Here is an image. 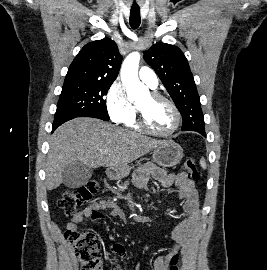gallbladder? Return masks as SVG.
Listing matches in <instances>:
<instances>
[{
	"instance_id": "gallbladder-1",
	"label": "gallbladder",
	"mask_w": 267,
	"mask_h": 270,
	"mask_svg": "<svg viewBox=\"0 0 267 270\" xmlns=\"http://www.w3.org/2000/svg\"><path fill=\"white\" fill-rule=\"evenodd\" d=\"M93 174V169L81 162H74L63 171V184L68 188H78L84 185Z\"/></svg>"
}]
</instances>
